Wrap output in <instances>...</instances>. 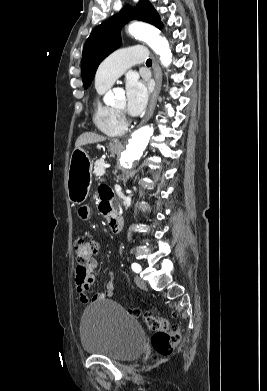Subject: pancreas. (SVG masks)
Here are the masks:
<instances>
[{
  "label": "pancreas",
  "mask_w": 267,
  "mask_h": 391,
  "mask_svg": "<svg viewBox=\"0 0 267 391\" xmlns=\"http://www.w3.org/2000/svg\"><path fill=\"white\" fill-rule=\"evenodd\" d=\"M104 165H105V161L103 159H99L95 162L94 164V170H93V173L98 176V177H101L105 174V168H104Z\"/></svg>",
  "instance_id": "1"
}]
</instances>
